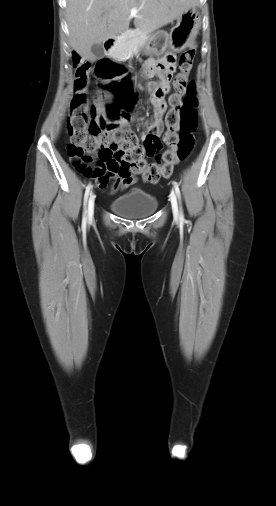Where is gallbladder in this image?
Returning a JSON list of instances; mask_svg holds the SVG:
<instances>
[{
	"label": "gallbladder",
	"instance_id": "1",
	"mask_svg": "<svg viewBox=\"0 0 276 506\" xmlns=\"http://www.w3.org/2000/svg\"><path fill=\"white\" fill-rule=\"evenodd\" d=\"M91 52L96 59H100L104 56V50L101 43L93 44L91 47Z\"/></svg>",
	"mask_w": 276,
	"mask_h": 506
}]
</instances>
